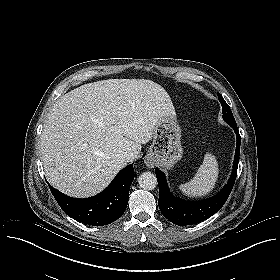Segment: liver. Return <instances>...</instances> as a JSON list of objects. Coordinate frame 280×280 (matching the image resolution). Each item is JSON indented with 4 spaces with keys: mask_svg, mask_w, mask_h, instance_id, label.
Listing matches in <instances>:
<instances>
[{
    "mask_svg": "<svg viewBox=\"0 0 280 280\" xmlns=\"http://www.w3.org/2000/svg\"><path fill=\"white\" fill-rule=\"evenodd\" d=\"M165 117L175 119L172 101L151 80L108 79L71 90L55 102L40 138L47 180L73 197L96 195L127 165L123 154L137 158Z\"/></svg>",
    "mask_w": 280,
    "mask_h": 280,
    "instance_id": "1",
    "label": "liver"
}]
</instances>
